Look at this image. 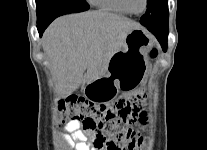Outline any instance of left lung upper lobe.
Masks as SVG:
<instances>
[{"label":"left lung upper lobe","mask_w":207,"mask_h":150,"mask_svg":"<svg viewBox=\"0 0 207 150\" xmlns=\"http://www.w3.org/2000/svg\"><path fill=\"white\" fill-rule=\"evenodd\" d=\"M169 11L167 0H147V11L140 23L146 27L168 26Z\"/></svg>","instance_id":"1"}]
</instances>
